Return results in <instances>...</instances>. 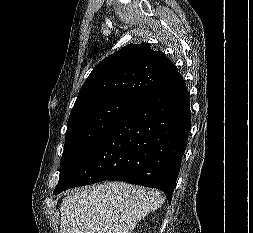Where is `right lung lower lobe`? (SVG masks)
<instances>
[{"instance_id": "98d812e1", "label": "right lung lower lobe", "mask_w": 253, "mask_h": 233, "mask_svg": "<svg viewBox=\"0 0 253 233\" xmlns=\"http://www.w3.org/2000/svg\"><path fill=\"white\" fill-rule=\"evenodd\" d=\"M191 127L177 72L137 98L114 128L58 182L54 194L104 180L162 190L171 202Z\"/></svg>"}]
</instances>
